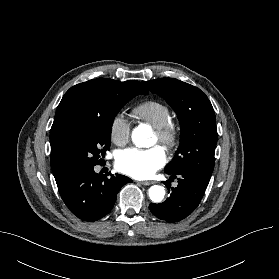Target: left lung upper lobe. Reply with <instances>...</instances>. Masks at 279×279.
<instances>
[{"instance_id": "obj_1", "label": "left lung upper lobe", "mask_w": 279, "mask_h": 279, "mask_svg": "<svg viewBox=\"0 0 279 279\" xmlns=\"http://www.w3.org/2000/svg\"><path fill=\"white\" fill-rule=\"evenodd\" d=\"M164 98L180 123V146L165 172H191L210 180L217 144L216 118L208 97L197 87L173 78L142 81Z\"/></svg>"}]
</instances>
